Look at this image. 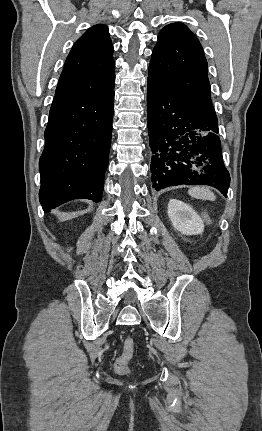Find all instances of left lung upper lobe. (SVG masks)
<instances>
[{
  "mask_svg": "<svg viewBox=\"0 0 262 431\" xmlns=\"http://www.w3.org/2000/svg\"><path fill=\"white\" fill-rule=\"evenodd\" d=\"M148 75V82L186 102L204 120L218 123L202 46L184 24L172 23L160 31Z\"/></svg>",
  "mask_w": 262,
  "mask_h": 431,
  "instance_id": "obj_1",
  "label": "left lung upper lobe"
}]
</instances>
